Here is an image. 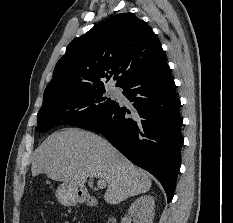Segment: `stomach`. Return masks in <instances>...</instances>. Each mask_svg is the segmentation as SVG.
<instances>
[{"label":"stomach","instance_id":"1","mask_svg":"<svg viewBox=\"0 0 233 223\" xmlns=\"http://www.w3.org/2000/svg\"><path fill=\"white\" fill-rule=\"evenodd\" d=\"M87 191L82 189V193H79L78 185H71V183H60L55 191V197L61 205L71 207V205H77L80 197H86Z\"/></svg>","mask_w":233,"mask_h":223}]
</instances>
